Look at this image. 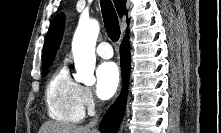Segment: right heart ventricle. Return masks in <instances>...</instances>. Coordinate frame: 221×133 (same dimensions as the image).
Instances as JSON below:
<instances>
[{
	"label": "right heart ventricle",
	"mask_w": 221,
	"mask_h": 133,
	"mask_svg": "<svg viewBox=\"0 0 221 133\" xmlns=\"http://www.w3.org/2000/svg\"><path fill=\"white\" fill-rule=\"evenodd\" d=\"M81 86L74 81L66 67L58 68L46 85L47 111L54 121L61 124L79 123L84 116L80 97Z\"/></svg>",
	"instance_id": "right-heart-ventricle-1"
}]
</instances>
